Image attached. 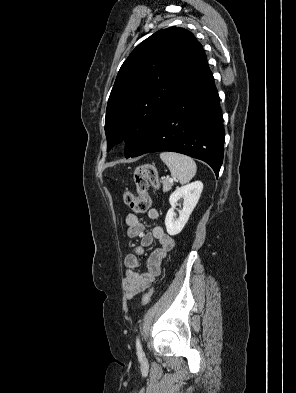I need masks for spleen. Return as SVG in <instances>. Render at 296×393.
Wrapping results in <instances>:
<instances>
[{"instance_id":"spleen-1","label":"spleen","mask_w":296,"mask_h":393,"mask_svg":"<svg viewBox=\"0 0 296 393\" xmlns=\"http://www.w3.org/2000/svg\"><path fill=\"white\" fill-rule=\"evenodd\" d=\"M160 158L169 168L171 175L181 184L189 182L196 174L197 166L195 161L186 155L162 152Z\"/></svg>"}]
</instances>
